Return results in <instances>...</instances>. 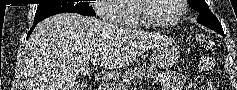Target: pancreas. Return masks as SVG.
I'll return each instance as SVG.
<instances>
[{"instance_id":"cf45deb5","label":"pancreas","mask_w":237,"mask_h":90,"mask_svg":"<svg viewBox=\"0 0 237 90\" xmlns=\"http://www.w3.org/2000/svg\"><path fill=\"white\" fill-rule=\"evenodd\" d=\"M157 72H154L152 68H134V70H129L125 76L122 78V84H119V88H125V86H130V84H137V82H142L144 78H154Z\"/></svg>"}]
</instances>
